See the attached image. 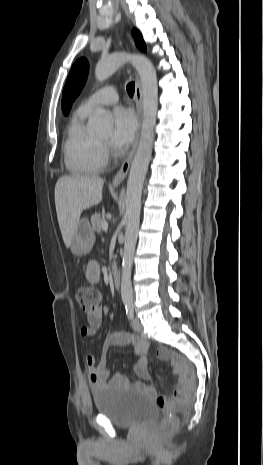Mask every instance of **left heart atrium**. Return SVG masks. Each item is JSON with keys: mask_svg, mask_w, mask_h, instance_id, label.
I'll return each mask as SVG.
<instances>
[{"mask_svg": "<svg viewBox=\"0 0 263 465\" xmlns=\"http://www.w3.org/2000/svg\"><path fill=\"white\" fill-rule=\"evenodd\" d=\"M113 131L111 143L117 148H124L132 141L137 122L134 113L125 107H117L113 111Z\"/></svg>", "mask_w": 263, "mask_h": 465, "instance_id": "left-heart-atrium-1", "label": "left heart atrium"}]
</instances>
